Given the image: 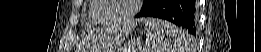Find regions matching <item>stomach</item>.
<instances>
[{
    "label": "stomach",
    "instance_id": "stomach-1",
    "mask_svg": "<svg viewBox=\"0 0 261 52\" xmlns=\"http://www.w3.org/2000/svg\"><path fill=\"white\" fill-rule=\"evenodd\" d=\"M138 43L136 42L135 43V45H133L134 46V48L133 49H127V51H125V52H136V45H137ZM125 49V48H124Z\"/></svg>",
    "mask_w": 261,
    "mask_h": 52
}]
</instances>
